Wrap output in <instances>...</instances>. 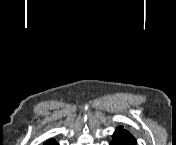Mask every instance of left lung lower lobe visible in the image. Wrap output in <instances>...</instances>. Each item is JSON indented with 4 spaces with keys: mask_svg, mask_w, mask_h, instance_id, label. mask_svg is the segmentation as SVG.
<instances>
[{
    "mask_svg": "<svg viewBox=\"0 0 176 145\" xmlns=\"http://www.w3.org/2000/svg\"><path fill=\"white\" fill-rule=\"evenodd\" d=\"M110 145H134L127 140L122 134L114 132L113 139Z\"/></svg>",
    "mask_w": 176,
    "mask_h": 145,
    "instance_id": "obj_1",
    "label": "left lung lower lobe"
}]
</instances>
